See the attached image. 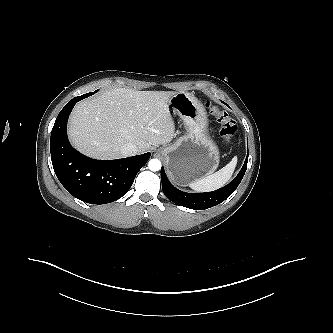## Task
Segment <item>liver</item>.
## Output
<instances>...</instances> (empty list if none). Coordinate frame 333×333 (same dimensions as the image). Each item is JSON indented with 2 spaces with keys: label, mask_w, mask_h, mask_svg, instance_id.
Returning a JSON list of instances; mask_svg holds the SVG:
<instances>
[{
  "label": "liver",
  "mask_w": 333,
  "mask_h": 333,
  "mask_svg": "<svg viewBox=\"0 0 333 333\" xmlns=\"http://www.w3.org/2000/svg\"><path fill=\"white\" fill-rule=\"evenodd\" d=\"M176 93L115 88L83 100L71 113L69 138L80 152L99 159L123 157L120 149L127 143L139 153L166 144L174 136L168 104Z\"/></svg>",
  "instance_id": "liver-1"
}]
</instances>
